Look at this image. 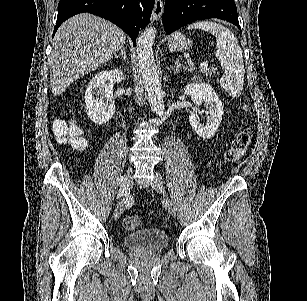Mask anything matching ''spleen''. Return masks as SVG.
Listing matches in <instances>:
<instances>
[{"instance_id": "1", "label": "spleen", "mask_w": 307, "mask_h": 301, "mask_svg": "<svg viewBox=\"0 0 307 301\" xmlns=\"http://www.w3.org/2000/svg\"><path fill=\"white\" fill-rule=\"evenodd\" d=\"M187 28L188 30L201 28V30H207L216 36V56L223 68L220 84L230 96L238 98L243 90L245 74L243 54L238 38L230 28H226L219 22H213V20L192 22Z\"/></svg>"}]
</instances>
